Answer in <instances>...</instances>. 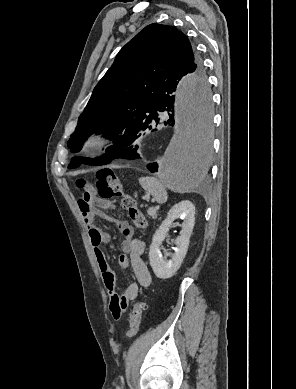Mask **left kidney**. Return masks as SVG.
<instances>
[{"label": "left kidney", "instance_id": "1", "mask_svg": "<svg viewBox=\"0 0 296 389\" xmlns=\"http://www.w3.org/2000/svg\"><path fill=\"white\" fill-rule=\"evenodd\" d=\"M183 219L180 236L175 240L174 253L162 255L160 246L167 237L169 228L176 219ZM195 224V207L192 202L184 200L174 205L155 232L149 250L150 266L154 274L161 279L171 278L180 268L187 253L190 237ZM167 257H170L167 260Z\"/></svg>", "mask_w": 296, "mask_h": 389}]
</instances>
